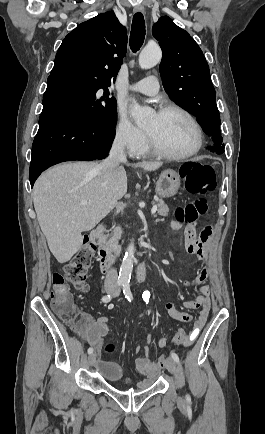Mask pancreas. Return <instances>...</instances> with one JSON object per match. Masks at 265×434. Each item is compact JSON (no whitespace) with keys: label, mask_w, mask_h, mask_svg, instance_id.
Returning a JSON list of instances; mask_svg holds the SVG:
<instances>
[{"label":"pancreas","mask_w":265,"mask_h":434,"mask_svg":"<svg viewBox=\"0 0 265 434\" xmlns=\"http://www.w3.org/2000/svg\"><path fill=\"white\" fill-rule=\"evenodd\" d=\"M158 214L159 216H167L168 212H169V208L168 206H166L165 202H163V200H158ZM121 234H122V230L121 228H115L114 230V234L113 236H105V238H109V240H106L105 242V246H107V250H112V252H118L119 250V246H117L118 244V240H120L121 238Z\"/></svg>","instance_id":"obj_1"}]
</instances>
